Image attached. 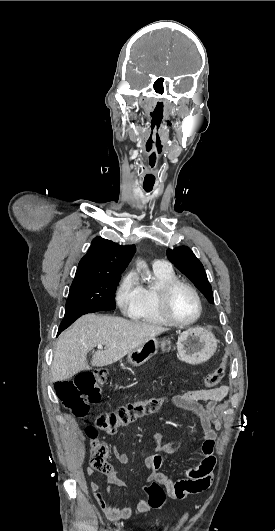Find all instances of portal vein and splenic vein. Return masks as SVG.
I'll return each instance as SVG.
<instances>
[{"instance_id":"portal-vein-and-splenic-vein-1","label":"portal vein and splenic vein","mask_w":275,"mask_h":531,"mask_svg":"<svg viewBox=\"0 0 275 531\" xmlns=\"http://www.w3.org/2000/svg\"><path fill=\"white\" fill-rule=\"evenodd\" d=\"M97 349H103L102 345H97Z\"/></svg>"}]
</instances>
